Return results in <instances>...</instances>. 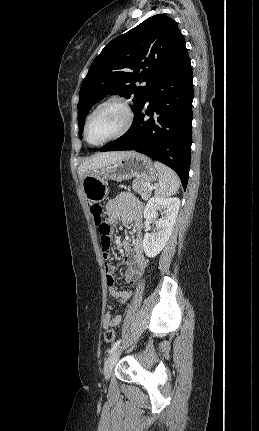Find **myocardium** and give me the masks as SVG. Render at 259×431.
I'll use <instances>...</instances> for the list:
<instances>
[{"label": "myocardium", "instance_id": "obj_1", "mask_svg": "<svg viewBox=\"0 0 259 431\" xmlns=\"http://www.w3.org/2000/svg\"><path fill=\"white\" fill-rule=\"evenodd\" d=\"M112 103H116L119 106H121V108L123 109L124 113H125V122L122 126V128L113 136L105 139L102 142L99 143H92L90 142V140L88 139V126L89 123L92 119V117L104 106L112 104ZM134 122V112H133V108L131 105L130 100L125 97V96H121V95H114V96H110L107 99L103 100L102 102H100L88 115L86 121H85V125H84V130H83V136L85 141L92 146H102L104 144H107L111 141H114L122 136H124L132 127Z\"/></svg>", "mask_w": 259, "mask_h": 431}]
</instances>
